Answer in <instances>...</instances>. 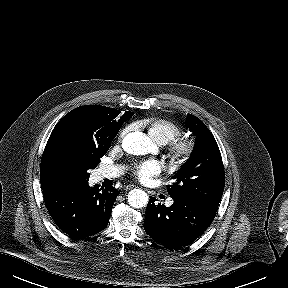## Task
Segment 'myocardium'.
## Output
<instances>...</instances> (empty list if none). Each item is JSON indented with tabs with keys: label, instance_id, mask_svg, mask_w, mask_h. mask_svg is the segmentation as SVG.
I'll list each match as a JSON object with an SVG mask.
<instances>
[{
	"label": "myocardium",
	"instance_id": "myocardium-1",
	"mask_svg": "<svg viewBox=\"0 0 288 288\" xmlns=\"http://www.w3.org/2000/svg\"><path fill=\"white\" fill-rule=\"evenodd\" d=\"M169 157L175 164L187 162L195 151V141L191 137L180 136L165 143Z\"/></svg>",
	"mask_w": 288,
	"mask_h": 288
}]
</instances>
